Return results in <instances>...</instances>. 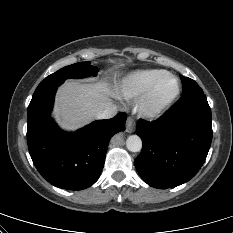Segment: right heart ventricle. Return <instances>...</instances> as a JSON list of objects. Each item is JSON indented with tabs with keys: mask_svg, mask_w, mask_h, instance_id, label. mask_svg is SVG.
<instances>
[{
	"mask_svg": "<svg viewBox=\"0 0 233 233\" xmlns=\"http://www.w3.org/2000/svg\"><path fill=\"white\" fill-rule=\"evenodd\" d=\"M164 70L144 69L136 70L126 75L116 86L115 94L124 99H132L142 95Z\"/></svg>",
	"mask_w": 233,
	"mask_h": 233,
	"instance_id": "e07e8e85",
	"label": "right heart ventricle"
}]
</instances>
